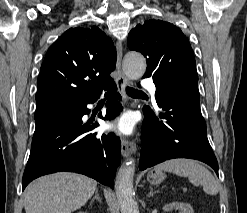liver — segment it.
<instances>
[{
    "label": "liver",
    "mask_w": 247,
    "mask_h": 213,
    "mask_svg": "<svg viewBox=\"0 0 247 213\" xmlns=\"http://www.w3.org/2000/svg\"><path fill=\"white\" fill-rule=\"evenodd\" d=\"M97 182L87 176L59 172L39 178L24 192L26 213H72L96 191Z\"/></svg>",
    "instance_id": "1"
}]
</instances>
